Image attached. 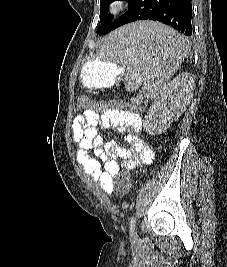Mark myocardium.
<instances>
[{"label": "myocardium", "instance_id": "f54148a6", "mask_svg": "<svg viewBox=\"0 0 227 267\" xmlns=\"http://www.w3.org/2000/svg\"><path fill=\"white\" fill-rule=\"evenodd\" d=\"M128 7L127 0H112L107 6V14L115 17L122 14Z\"/></svg>", "mask_w": 227, "mask_h": 267}]
</instances>
